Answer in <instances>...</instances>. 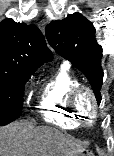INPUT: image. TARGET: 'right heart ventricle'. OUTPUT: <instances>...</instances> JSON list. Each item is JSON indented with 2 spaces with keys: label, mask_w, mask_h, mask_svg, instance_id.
<instances>
[{
  "label": "right heart ventricle",
  "mask_w": 114,
  "mask_h": 156,
  "mask_svg": "<svg viewBox=\"0 0 114 156\" xmlns=\"http://www.w3.org/2000/svg\"><path fill=\"white\" fill-rule=\"evenodd\" d=\"M80 83L67 65H60L55 73L43 84L37 108L50 123L64 129L79 125L68 104L71 91Z\"/></svg>",
  "instance_id": "1"
}]
</instances>
